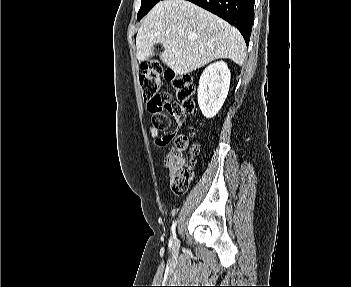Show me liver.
Returning <instances> with one entry per match:
<instances>
[{
    "instance_id": "liver-1",
    "label": "liver",
    "mask_w": 351,
    "mask_h": 287,
    "mask_svg": "<svg viewBox=\"0 0 351 287\" xmlns=\"http://www.w3.org/2000/svg\"><path fill=\"white\" fill-rule=\"evenodd\" d=\"M161 44L160 59L183 75L209 62L226 58L242 65L246 45L229 23L186 0H163L144 18L136 36V56L143 62Z\"/></svg>"
}]
</instances>
